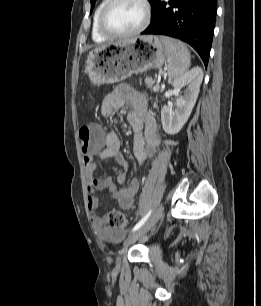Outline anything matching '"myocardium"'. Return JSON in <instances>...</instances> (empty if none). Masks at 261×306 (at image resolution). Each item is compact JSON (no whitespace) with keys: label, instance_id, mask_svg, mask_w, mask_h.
<instances>
[{"label":"myocardium","instance_id":"obj_1","mask_svg":"<svg viewBox=\"0 0 261 306\" xmlns=\"http://www.w3.org/2000/svg\"><path fill=\"white\" fill-rule=\"evenodd\" d=\"M120 1L121 0H107V3L102 8L99 15V20H98L99 29L105 36L109 38H128L138 35L147 28L151 20V6L149 0H137V2H139L144 9V18L142 23L136 29L130 32H117L113 30L107 24V15L109 11L112 9V7L115 6L117 3H119Z\"/></svg>","mask_w":261,"mask_h":306}]
</instances>
